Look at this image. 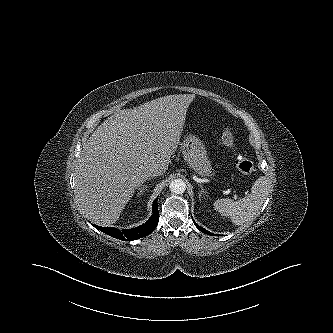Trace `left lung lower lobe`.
<instances>
[{
  "label": "left lung lower lobe",
  "mask_w": 333,
  "mask_h": 333,
  "mask_svg": "<svg viewBox=\"0 0 333 333\" xmlns=\"http://www.w3.org/2000/svg\"><path fill=\"white\" fill-rule=\"evenodd\" d=\"M194 223H195V222H194ZM195 225H196V227H197L200 231H202L203 233H205V234H207V235L215 236V234L210 233L209 231L203 229L201 226H198L196 223H195ZM217 236H218V235H217Z\"/></svg>",
  "instance_id": "obj_1"
}]
</instances>
